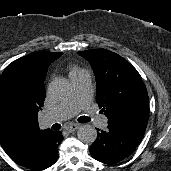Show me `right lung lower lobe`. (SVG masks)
Masks as SVG:
<instances>
[{
    "label": "right lung lower lobe",
    "instance_id": "right-lung-lower-lobe-1",
    "mask_svg": "<svg viewBox=\"0 0 171 171\" xmlns=\"http://www.w3.org/2000/svg\"><path fill=\"white\" fill-rule=\"evenodd\" d=\"M62 139L63 136L60 131L46 133L38 141L34 150L17 163L31 170H44L52 166L57 161L58 144Z\"/></svg>",
    "mask_w": 171,
    "mask_h": 171
}]
</instances>
